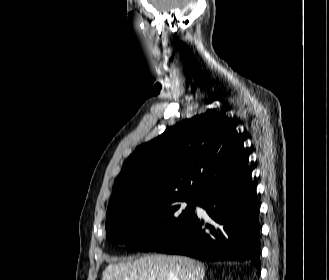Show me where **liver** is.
Masks as SVG:
<instances>
[{"label":"liver","instance_id":"liver-1","mask_svg":"<svg viewBox=\"0 0 329 280\" xmlns=\"http://www.w3.org/2000/svg\"><path fill=\"white\" fill-rule=\"evenodd\" d=\"M202 263L184 256L147 255L109 264L102 280H203Z\"/></svg>","mask_w":329,"mask_h":280}]
</instances>
